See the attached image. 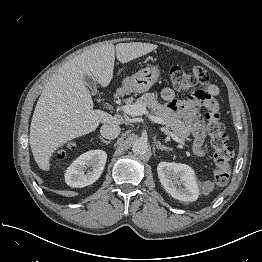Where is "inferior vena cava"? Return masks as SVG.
<instances>
[{
	"label": "inferior vena cava",
	"instance_id": "602c4592",
	"mask_svg": "<svg viewBox=\"0 0 262 262\" xmlns=\"http://www.w3.org/2000/svg\"><path fill=\"white\" fill-rule=\"evenodd\" d=\"M100 133L106 139H115L120 133V127L114 123L104 124Z\"/></svg>",
	"mask_w": 262,
	"mask_h": 262
}]
</instances>
